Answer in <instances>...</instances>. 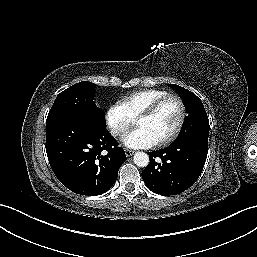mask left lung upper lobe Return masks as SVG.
Listing matches in <instances>:
<instances>
[{"mask_svg": "<svg viewBox=\"0 0 257 257\" xmlns=\"http://www.w3.org/2000/svg\"><path fill=\"white\" fill-rule=\"evenodd\" d=\"M169 86L180 95L188 113L181 133L174 143L189 138L208 140L209 120L201 100L194 93L181 86L176 84H170Z\"/></svg>", "mask_w": 257, "mask_h": 257, "instance_id": "left-lung-upper-lobe-1", "label": "left lung upper lobe"}]
</instances>
